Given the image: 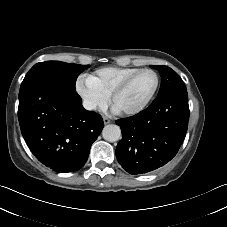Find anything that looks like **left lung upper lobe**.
I'll return each instance as SVG.
<instances>
[{
  "mask_svg": "<svg viewBox=\"0 0 227 227\" xmlns=\"http://www.w3.org/2000/svg\"><path fill=\"white\" fill-rule=\"evenodd\" d=\"M159 71L161 75V86L158 95L172 90H187L180 76L167 66H150Z\"/></svg>",
  "mask_w": 227,
  "mask_h": 227,
  "instance_id": "left-lung-upper-lobe-1",
  "label": "left lung upper lobe"
}]
</instances>
